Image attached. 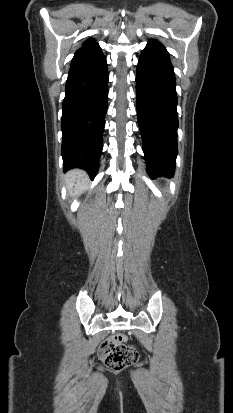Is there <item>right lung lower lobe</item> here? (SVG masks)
Wrapping results in <instances>:
<instances>
[{"label": "right lung lower lobe", "mask_w": 233, "mask_h": 413, "mask_svg": "<svg viewBox=\"0 0 233 413\" xmlns=\"http://www.w3.org/2000/svg\"><path fill=\"white\" fill-rule=\"evenodd\" d=\"M106 58L96 42L76 51L63 101L62 157L64 170L82 168L94 178L103 144L108 100Z\"/></svg>", "instance_id": "98d812e1"}]
</instances>
